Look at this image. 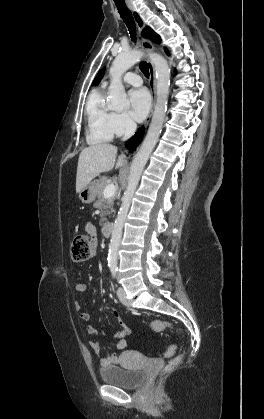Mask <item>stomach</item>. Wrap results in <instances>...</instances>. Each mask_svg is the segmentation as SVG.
<instances>
[{"instance_id":"obj_1","label":"stomach","mask_w":264,"mask_h":419,"mask_svg":"<svg viewBox=\"0 0 264 419\" xmlns=\"http://www.w3.org/2000/svg\"><path fill=\"white\" fill-rule=\"evenodd\" d=\"M97 195V183L95 181L90 182L79 192V198L82 203L89 204L96 199Z\"/></svg>"}]
</instances>
